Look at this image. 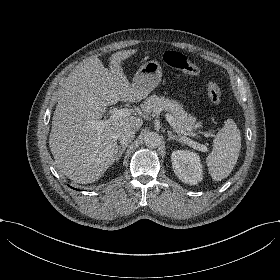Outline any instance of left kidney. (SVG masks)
Returning a JSON list of instances; mask_svg holds the SVG:
<instances>
[{"label": "left kidney", "mask_w": 280, "mask_h": 280, "mask_svg": "<svg viewBox=\"0 0 280 280\" xmlns=\"http://www.w3.org/2000/svg\"><path fill=\"white\" fill-rule=\"evenodd\" d=\"M174 173L184 183L196 185L202 181V164L200 157L188 150H176L171 154Z\"/></svg>", "instance_id": "left-kidney-1"}]
</instances>
